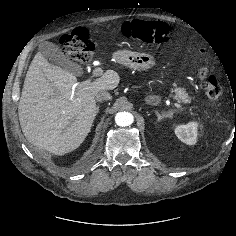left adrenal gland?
<instances>
[{"label": "left adrenal gland", "mask_w": 236, "mask_h": 236, "mask_svg": "<svg viewBox=\"0 0 236 236\" xmlns=\"http://www.w3.org/2000/svg\"><path fill=\"white\" fill-rule=\"evenodd\" d=\"M155 114L157 116L158 121H161L164 118H171V113L170 112H168V113L164 112V113L160 114L158 111H155Z\"/></svg>", "instance_id": "left-adrenal-gland-1"}]
</instances>
